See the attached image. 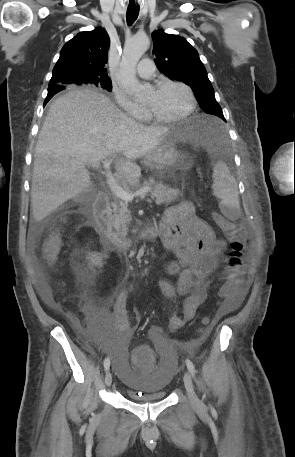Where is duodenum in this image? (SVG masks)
I'll return each instance as SVG.
<instances>
[{"mask_svg": "<svg viewBox=\"0 0 295 457\" xmlns=\"http://www.w3.org/2000/svg\"><path fill=\"white\" fill-rule=\"evenodd\" d=\"M109 197L108 195L100 191L91 207H85L83 215L88 218L96 232L101 238L104 247L110 252H126L132 249L138 240L123 237L114 232L111 227L109 220ZM163 232V226L159 222L148 226L142 235V240L151 241L155 239L159 234Z\"/></svg>", "mask_w": 295, "mask_h": 457, "instance_id": "duodenum-1", "label": "duodenum"}]
</instances>
